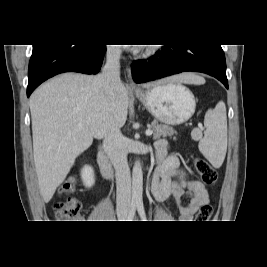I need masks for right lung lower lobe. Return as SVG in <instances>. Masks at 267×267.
Masks as SVG:
<instances>
[{
    "label": "right lung lower lobe",
    "mask_w": 267,
    "mask_h": 267,
    "mask_svg": "<svg viewBox=\"0 0 267 267\" xmlns=\"http://www.w3.org/2000/svg\"><path fill=\"white\" fill-rule=\"evenodd\" d=\"M106 45H33L29 62L27 97L42 82L64 72L96 74Z\"/></svg>",
    "instance_id": "98d812e1"
}]
</instances>
